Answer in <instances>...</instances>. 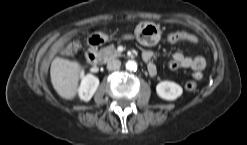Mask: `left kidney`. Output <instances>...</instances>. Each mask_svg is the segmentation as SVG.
<instances>
[{"instance_id":"1","label":"left kidney","mask_w":247,"mask_h":145,"mask_svg":"<svg viewBox=\"0 0 247 145\" xmlns=\"http://www.w3.org/2000/svg\"><path fill=\"white\" fill-rule=\"evenodd\" d=\"M156 92L160 98L173 101L182 95L183 89L175 82L162 81L157 84Z\"/></svg>"}]
</instances>
